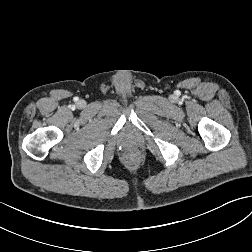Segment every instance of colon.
<instances>
[{
    "label": "colon",
    "instance_id": "1",
    "mask_svg": "<svg viewBox=\"0 0 252 252\" xmlns=\"http://www.w3.org/2000/svg\"><path fill=\"white\" fill-rule=\"evenodd\" d=\"M125 159H126L127 161L132 162V161H134V160L136 159V155L133 154V153H129V154H127V155L125 156Z\"/></svg>",
    "mask_w": 252,
    "mask_h": 252
}]
</instances>
